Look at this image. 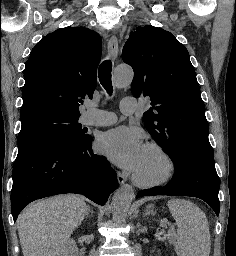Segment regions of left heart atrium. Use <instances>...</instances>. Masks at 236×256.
<instances>
[{"label":"left heart atrium","mask_w":236,"mask_h":256,"mask_svg":"<svg viewBox=\"0 0 236 256\" xmlns=\"http://www.w3.org/2000/svg\"><path fill=\"white\" fill-rule=\"evenodd\" d=\"M99 148L112 163L135 171L146 148L141 133L134 128L119 127L103 134Z\"/></svg>","instance_id":"39dd6f15"}]
</instances>
